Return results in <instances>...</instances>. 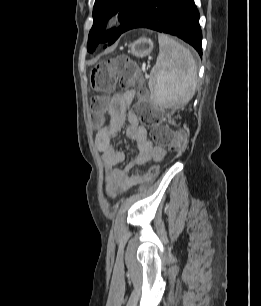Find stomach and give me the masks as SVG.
Masks as SVG:
<instances>
[{
    "instance_id": "1",
    "label": "stomach",
    "mask_w": 261,
    "mask_h": 306,
    "mask_svg": "<svg viewBox=\"0 0 261 306\" xmlns=\"http://www.w3.org/2000/svg\"><path fill=\"white\" fill-rule=\"evenodd\" d=\"M153 49V42L147 38H140L129 45V53L143 58L148 56Z\"/></svg>"
}]
</instances>
